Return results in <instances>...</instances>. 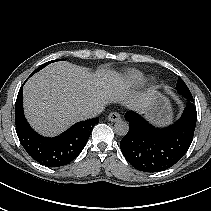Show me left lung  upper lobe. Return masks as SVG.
<instances>
[{
	"mask_svg": "<svg viewBox=\"0 0 211 211\" xmlns=\"http://www.w3.org/2000/svg\"><path fill=\"white\" fill-rule=\"evenodd\" d=\"M176 89H177V92L182 96L191 95V92L188 89L187 85L185 84V82L180 77L178 78V81H177V84H176Z\"/></svg>",
	"mask_w": 211,
	"mask_h": 211,
	"instance_id": "5c2ea615",
	"label": "left lung upper lobe"
}]
</instances>
